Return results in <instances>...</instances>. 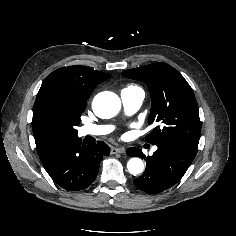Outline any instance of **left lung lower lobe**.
I'll return each instance as SVG.
<instances>
[{
    "label": "left lung lower lobe",
    "instance_id": "1",
    "mask_svg": "<svg viewBox=\"0 0 236 236\" xmlns=\"http://www.w3.org/2000/svg\"><path fill=\"white\" fill-rule=\"evenodd\" d=\"M158 149L147 158L141 149L129 148V156L146 160L144 173L134 183L144 192L157 194L175 185L186 173L197 154V148L179 143H158Z\"/></svg>",
    "mask_w": 236,
    "mask_h": 236
}]
</instances>
